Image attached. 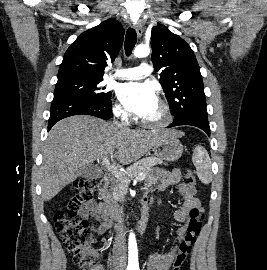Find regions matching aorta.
<instances>
[{
	"instance_id": "aorta-1",
	"label": "aorta",
	"mask_w": 267,
	"mask_h": 270,
	"mask_svg": "<svg viewBox=\"0 0 267 270\" xmlns=\"http://www.w3.org/2000/svg\"><path fill=\"white\" fill-rule=\"evenodd\" d=\"M134 56L136 58H143L147 57L150 54V48L147 45H138L134 49ZM128 252H129V262H137L138 261V249H137V243L135 234L133 232L129 235V241H128Z\"/></svg>"
}]
</instances>
